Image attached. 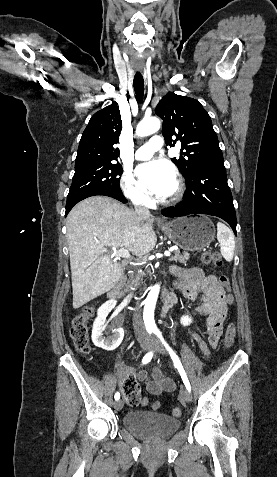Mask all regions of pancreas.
<instances>
[{
	"label": "pancreas",
	"mask_w": 277,
	"mask_h": 477,
	"mask_svg": "<svg viewBox=\"0 0 277 477\" xmlns=\"http://www.w3.org/2000/svg\"><path fill=\"white\" fill-rule=\"evenodd\" d=\"M189 259V254L188 253H183L181 254L179 250H176L174 252V256L170 259L171 261H175V262H180V263H183V264H186V261ZM145 275L144 272L142 271H139L138 274L136 275V277H134L132 279V282H131V288L134 286V287H137L140 285V281L142 280V277Z\"/></svg>",
	"instance_id": "1"
}]
</instances>
